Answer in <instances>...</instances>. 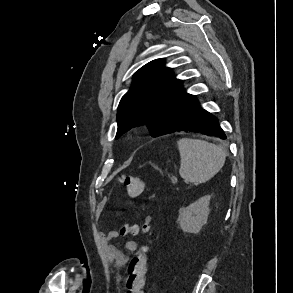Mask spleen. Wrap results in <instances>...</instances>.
<instances>
[{
	"mask_svg": "<svg viewBox=\"0 0 293 293\" xmlns=\"http://www.w3.org/2000/svg\"><path fill=\"white\" fill-rule=\"evenodd\" d=\"M181 163L179 174L194 185L205 183L223 167L225 150L204 140L182 138L178 141Z\"/></svg>",
	"mask_w": 293,
	"mask_h": 293,
	"instance_id": "1",
	"label": "spleen"
}]
</instances>
